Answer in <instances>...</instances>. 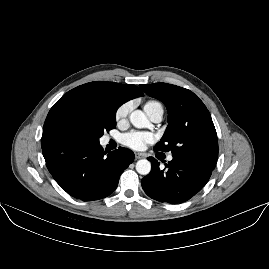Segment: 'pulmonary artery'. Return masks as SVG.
<instances>
[{"label": "pulmonary artery", "instance_id": "1", "mask_svg": "<svg viewBox=\"0 0 269 269\" xmlns=\"http://www.w3.org/2000/svg\"><path fill=\"white\" fill-rule=\"evenodd\" d=\"M145 111L152 122L158 123L163 118L164 109L160 103H157L154 106L148 107ZM172 159H173V156L169 154L167 157V160L172 161Z\"/></svg>", "mask_w": 269, "mask_h": 269}]
</instances>
